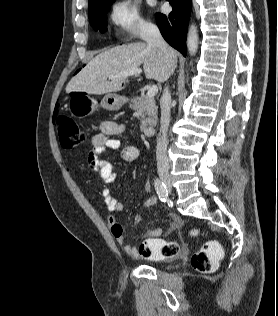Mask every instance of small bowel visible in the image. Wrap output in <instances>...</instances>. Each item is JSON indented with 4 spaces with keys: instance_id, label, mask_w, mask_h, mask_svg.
I'll return each instance as SVG.
<instances>
[{
    "instance_id": "obj_1",
    "label": "small bowel",
    "mask_w": 278,
    "mask_h": 316,
    "mask_svg": "<svg viewBox=\"0 0 278 316\" xmlns=\"http://www.w3.org/2000/svg\"><path fill=\"white\" fill-rule=\"evenodd\" d=\"M125 129L123 123L104 120L100 123V133L94 135L91 139L92 150L88 153L86 158L87 167L93 171L99 180L103 184H109L113 182L117 177V172L114 170L113 165L100 157L101 154L105 153L108 149L120 150L121 158L127 162H134L139 158L140 152L136 146L123 145L122 142L113 138V136L121 134ZM146 190L150 189L149 181L145 185ZM102 197L106 204L108 211L111 213L108 218V226L111 230L112 235L116 239L117 243L123 247L124 251L131 256H139V249L131 246L126 242L125 238V227L117 222V218L114 215L116 212L123 210V204L111 195L108 188L102 190ZM157 202L155 196L149 197L144 203V209H147ZM143 213L140 212L135 219V225L138 226L142 221ZM175 226L180 225L179 218H174ZM162 234L161 228H150L146 231V237L155 239Z\"/></svg>"
}]
</instances>
